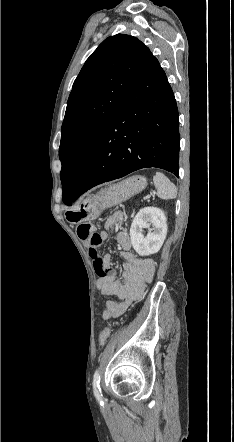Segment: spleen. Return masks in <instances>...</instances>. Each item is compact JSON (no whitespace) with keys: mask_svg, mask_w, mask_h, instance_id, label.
I'll return each instance as SVG.
<instances>
[{"mask_svg":"<svg viewBox=\"0 0 234 442\" xmlns=\"http://www.w3.org/2000/svg\"><path fill=\"white\" fill-rule=\"evenodd\" d=\"M157 189V196L161 199H174L177 195L176 186L161 172H156L153 177Z\"/></svg>","mask_w":234,"mask_h":442,"instance_id":"obj_1","label":"spleen"}]
</instances>
